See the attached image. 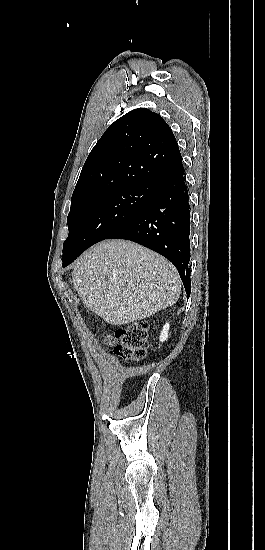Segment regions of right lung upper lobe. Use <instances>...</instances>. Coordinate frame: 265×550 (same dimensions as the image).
I'll return each instance as SVG.
<instances>
[{"instance_id": "right-lung-upper-lobe-1", "label": "right lung upper lobe", "mask_w": 265, "mask_h": 550, "mask_svg": "<svg viewBox=\"0 0 265 550\" xmlns=\"http://www.w3.org/2000/svg\"><path fill=\"white\" fill-rule=\"evenodd\" d=\"M181 159L168 124L146 108L134 109L116 120L90 152L71 204L123 188L156 186Z\"/></svg>"}]
</instances>
